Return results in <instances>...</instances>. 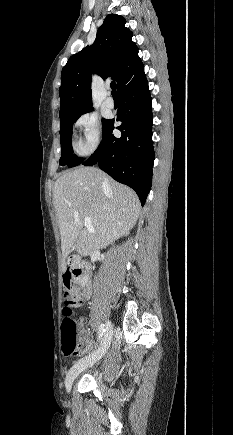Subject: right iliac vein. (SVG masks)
Returning a JSON list of instances; mask_svg holds the SVG:
<instances>
[{
    "instance_id": "63e3f726",
    "label": "right iliac vein",
    "mask_w": 233,
    "mask_h": 435,
    "mask_svg": "<svg viewBox=\"0 0 233 435\" xmlns=\"http://www.w3.org/2000/svg\"><path fill=\"white\" fill-rule=\"evenodd\" d=\"M113 336V327L110 322H108L104 337L101 344L95 352L77 361L68 371L65 378L66 390L69 392L72 388L75 378L86 368L91 367L97 361H99L107 352L110 347L111 340Z\"/></svg>"
}]
</instances>
